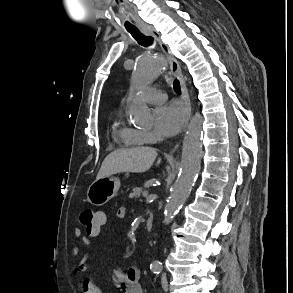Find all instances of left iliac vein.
Returning a JSON list of instances; mask_svg holds the SVG:
<instances>
[{"instance_id": "obj_1", "label": "left iliac vein", "mask_w": 293, "mask_h": 293, "mask_svg": "<svg viewBox=\"0 0 293 293\" xmlns=\"http://www.w3.org/2000/svg\"><path fill=\"white\" fill-rule=\"evenodd\" d=\"M161 284H162L163 290L167 292L168 289H169V287H168L167 278L165 276H163L162 281H161Z\"/></svg>"}]
</instances>
